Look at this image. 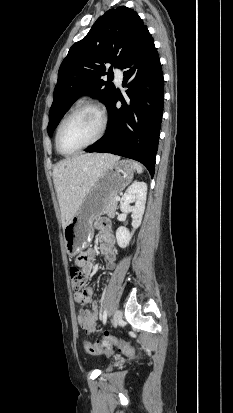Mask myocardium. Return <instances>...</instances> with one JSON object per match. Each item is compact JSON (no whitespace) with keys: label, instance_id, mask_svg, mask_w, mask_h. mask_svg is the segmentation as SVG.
<instances>
[{"label":"myocardium","instance_id":"obj_1","mask_svg":"<svg viewBox=\"0 0 233 413\" xmlns=\"http://www.w3.org/2000/svg\"><path fill=\"white\" fill-rule=\"evenodd\" d=\"M87 108L95 110L100 116L101 123H100V129H99L97 135L90 142L86 143L85 145H83V146H81V147H79V148H77L73 151L67 152V151L63 150L62 146H61V134H62V131H63L65 125L67 124V122L75 114H77L79 111H81L83 109H87ZM107 123H108V119H107L106 112L100 104L88 101V102H83V103L77 105L76 107H74L66 115V117L62 120V122L60 123V125L58 127V130H57V133H56V147H57V150L63 155L70 156V155H74V154H76V153L92 146L93 144L98 142L103 137V135L105 134L106 129H107Z\"/></svg>","mask_w":233,"mask_h":413}]
</instances>
